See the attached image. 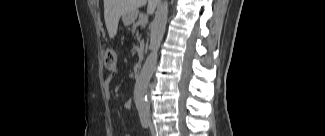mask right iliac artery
<instances>
[{"instance_id":"1","label":"right iliac artery","mask_w":325,"mask_h":136,"mask_svg":"<svg viewBox=\"0 0 325 136\" xmlns=\"http://www.w3.org/2000/svg\"><path fill=\"white\" fill-rule=\"evenodd\" d=\"M140 121L144 128H146L149 124V116L146 114H140Z\"/></svg>"}]
</instances>
